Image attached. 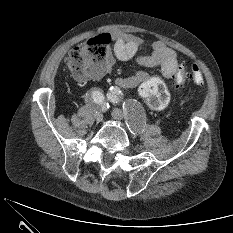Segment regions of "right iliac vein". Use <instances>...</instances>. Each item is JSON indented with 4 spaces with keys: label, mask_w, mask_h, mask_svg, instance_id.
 <instances>
[{
    "label": "right iliac vein",
    "mask_w": 233,
    "mask_h": 233,
    "mask_svg": "<svg viewBox=\"0 0 233 233\" xmlns=\"http://www.w3.org/2000/svg\"><path fill=\"white\" fill-rule=\"evenodd\" d=\"M95 119L97 122H101L103 120V114L101 112H96Z\"/></svg>",
    "instance_id": "right-iliac-vein-1"
}]
</instances>
